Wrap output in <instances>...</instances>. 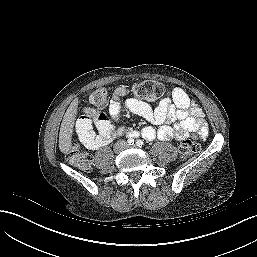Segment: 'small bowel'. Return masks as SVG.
I'll list each match as a JSON object with an SVG mask.
<instances>
[{
  "instance_id": "small-bowel-1",
  "label": "small bowel",
  "mask_w": 257,
  "mask_h": 257,
  "mask_svg": "<svg viewBox=\"0 0 257 257\" xmlns=\"http://www.w3.org/2000/svg\"><path fill=\"white\" fill-rule=\"evenodd\" d=\"M127 94L124 87H117L112 94L109 117L105 114L90 115L88 111L76 123V132L80 141L89 149L106 146L116 136L123 135L124 126L115 127L112 121L118 122L122 115V98ZM124 106L133 114L159 125L155 129L144 127L141 135L146 140L158 138L163 141L172 139L184 140L189 136L204 139L208 135V127L203 121L202 110L188 97L184 90L174 88L152 108L149 104L136 99L125 100ZM96 127L97 132L93 130Z\"/></svg>"
}]
</instances>
